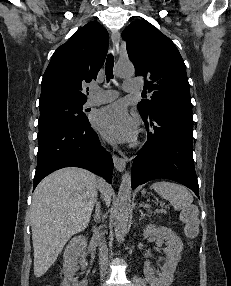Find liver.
<instances>
[{
    "label": "liver",
    "instance_id": "1",
    "mask_svg": "<svg viewBox=\"0 0 231 286\" xmlns=\"http://www.w3.org/2000/svg\"><path fill=\"white\" fill-rule=\"evenodd\" d=\"M110 205L112 190L81 168H63L36 187L31 205L34 275L41 277L56 261L67 241L89 224L97 191Z\"/></svg>",
    "mask_w": 231,
    "mask_h": 286
}]
</instances>
